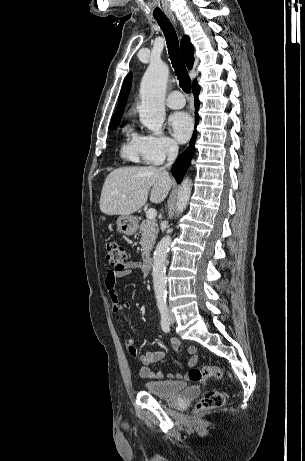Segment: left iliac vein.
<instances>
[{
  "label": "left iliac vein",
  "mask_w": 305,
  "mask_h": 461,
  "mask_svg": "<svg viewBox=\"0 0 305 461\" xmlns=\"http://www.w3.org/2000/svg\"><path fill=\"white\" fill-rule=\"evenodd\" d=\"M169 320H170L171 323L175 322V316L171 311H169Z\"/></svg>",
  "instance_id": "4c4485c4"
}]
</instances>
